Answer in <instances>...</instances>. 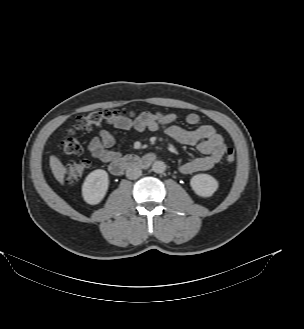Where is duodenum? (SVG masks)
Listing matches in <instances>:
<instances>
[{"label": "duodenum", "mask_w": 304, "mask_h": 329, "mask_svg": "<svg viewBox=\"0 0 304 329\" xmlns=\"http://www.w3.org/2000/svg\"><path fill=\"white\" fill-rule=\"evenodd\" d=\"M154 160H155V155L152 153L146 154L144 156H137L134 154H130L122 158L113 160L109 165V170L113 175L119 176L130 168L147 167Z\"/></svg>", "instance_id": "duodenum-1"}]
</instances>
